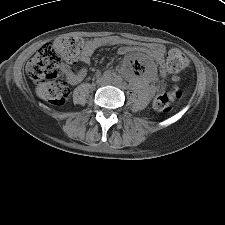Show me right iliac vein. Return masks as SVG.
Segmentation results:
<instances>
[{
  "mask_svg": "<svg viewBox=\"0 0 225 225\" xmlns=\"http://www.w3.org/2000/svg\"><path fill=\"white\" fill-rule=\"evenodd\" d=\"M106 82L105 78L102 76V77H99L98 80H97V83L99 85H104Z\"/></svg>",
  "mask_w": 225,
  "mask_h": 225,
  "instance_id": "right-iliac-vein-1",
  "label": "right iliac vein"
}]
</instances>
